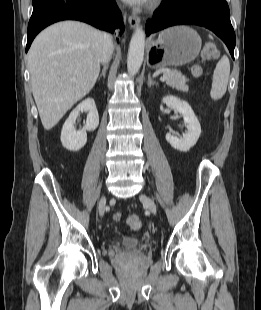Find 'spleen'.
Listing matches in <instances>:
<instances>
[{
  "mask_svg": "<svg viewBox=\"0 0 261 310\" xmlns=\"http://www.w3.org/2000/svg\"><path fill=\"white\" fill-rule=\"evenodd\" d=\"M230 75V62L227 56H223L216 65L212 77V87L210 96L213 100H218L226 93Z\"/></svg>",
  "mask_w": 261,
  "mask_h": 310,
  "instance_id": "obj_1",
  "label": "spleen"
}]
</instances>
